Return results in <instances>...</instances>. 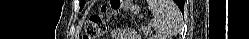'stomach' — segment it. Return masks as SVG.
I'll list each match as a JSON object with an SVG mask.
<instances>
[{
	"instance_id": "obj_1",
	"label": "stomach",
	"mask_w": 249,
	"mask_h": 39,
	"mask_svg": "<svg viewBox=\"0 0 249 39\" xmlns=\"http://www.w3.org/2000/svg\"><path fill=\"white\" fill-rule=\"evenodd\" d=\"M123 2L126 4L125 9L130 8L129 5H128V4H129V0H125V1H123Z\"/></svg>"
}]
</instances>
